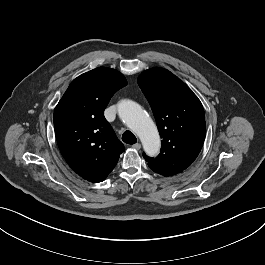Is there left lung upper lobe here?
Wrapping results in <instances>:
<instances>
[{"label": "left lung upper lobe", "mask_w": 265, "mask_h": 265, "mask_svg": "<svg viewBox=\"0 0 265 265\" xmlns=\"http://www.w3.org/2000/svg\"><path fill=\"white\" fill-rule=\"evenodd\" d=\"M159 133L161 152L156 158L143 154L148 166L165 177L189 167L198 156L205 139L204 109L189 87L170 71L151 68L138 78Z\"/></svg>", "instance_id": "1"}]
</instances>
